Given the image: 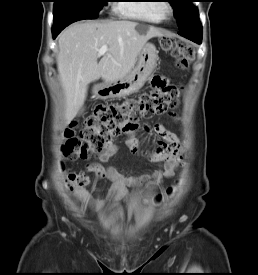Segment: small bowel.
<instances>
[{
    "label": "small bowel",
    "instance_id": "obj_1",
    "mask_svg": "<svg viewBox=\"0 0 258 275\" xmlns=\"http://www.w3.org/2000/svg\"><path fill=\"white\" fill-rule=\"evenodd\" d=\"M162 80L165 81L164 79ZM171 115L177 119L175 114ZM144 129L147 132L153 130L160 137L158 148L155 152L149 154V157L153 162H164V169L154 171L151 174L126 177L119 174L114 167H104L99 163L90 164L87 167L89 171L95 172L99 178H109L112 180L113 185L108 191L106 198L101 200H94L89 192L80 191L79 200L84 208L97 210L105 208L111 203L127 200L129 198L128 186L145 183L147 189H152L158 186L164 178H169L174 175L178 166V161L182 156V145L179 137L175 133L167 130L162 124H156L153 128L145 125ZM134 131L135 130L122 132L121 134L127 136L125 143L133 154H142L143 152L141 151L140 143L133 135ZM117 152L118 147L111 139L98 154V159L101 163H104Z\"/></svg>",
    "mask_w": 258,
    "mask_h": 275
}]
</instances>
